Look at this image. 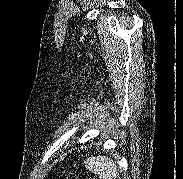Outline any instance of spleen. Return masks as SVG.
Here are the masks:
<instances>
[{"label":"spleen","mask_w":183,"mask_h":179,"mask_svg":"<svg viewBox=\"0 0 183 179\" xmlns=\"http://www.w3.org/2000/svg\"><path fill=\"white\" fill-rule=\"evenodd\" d=\"M85 167L95 174L99 179H117L119 172L117 165L112 159L105 156H92L86 159Z\"/></svg>","instance_id":"obj_1"}]
</instances>
